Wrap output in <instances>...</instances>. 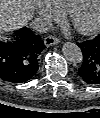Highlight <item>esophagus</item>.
I'll use <instances>...</instances> for the list:
<instances>
[{"label": "esophagus", "mask_w": 100, "mask_h": 118, "mask_svg": "<svg viewBox=\"0 0 100 118\" xmlns=\"http://www.w3.org/2000/svg\"><path fill=\"white\" fill-rule=\"evenodd\" d=\"M60 43V39L56 36L49 35L44 39V44L49 47Z\"/></svg>", "instance_id": "obj_1"}]
</instances>
